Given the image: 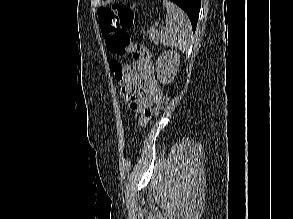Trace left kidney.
<instances>
[{"instance_id":"1","label":"left kidney","mask_w":293,"mask_h":219,"mask_svg":"<svg viewBox=\"0 0 293 219\" xmlns=\"http://www.w3.org/2000/svg\"><path fill=\"white\" fill-rule=\"evenodd\" d=\"M180 55L176 51H164L156 61L158 80L163 84H169L176 76L179 68Z\"/></svg>"}]
</instances>
